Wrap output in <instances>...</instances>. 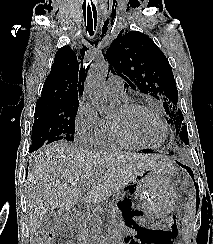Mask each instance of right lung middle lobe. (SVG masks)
I'll use <instances>...</instances> for the list:
<instances>
[{
    "label": "right lung middle lobe",
    "mask_w": 213,
    "mask_h": 244,
    "mask_svg": "<svg viewBox=\"0 0 213 244\" xmlns=\"http://www.w3.org/2000/svg\"><path fill=\"white\" fill-rule=\"evenodd\" d=\"M78 106L79 101H37L30 150H36L56 137L73 141Z\"/></svg>",
    "instance_id": "right-lung-middle-lobe-1"
}]
</instances>
